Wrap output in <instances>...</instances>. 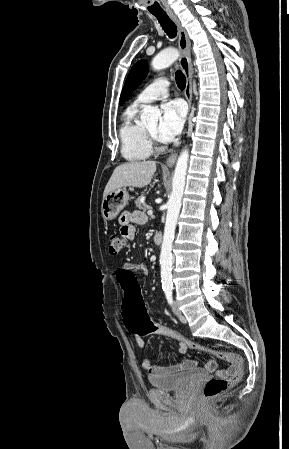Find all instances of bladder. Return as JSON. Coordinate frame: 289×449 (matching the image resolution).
I'll return each mask as SVG.
<instances>
[{
	"mask_svg": "<svg viewBox=\"0 0 289 449\" xmlns=\"http://www.w3.org/2000/svg\"><path fill=\"white\" fill-rule=\"evenodd\" d=\"M205 375L206 372L201 369H192L185 372L150 375L149 382L154 388L170 391L183 388Z\"/></svg>",
	"mask_w": 289,
	"mask_h": 449,
	"instance_id": "31cf9c89",
	"label": "bladder"
}]
</instances>
